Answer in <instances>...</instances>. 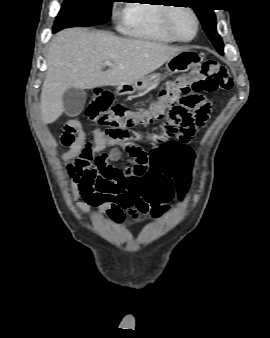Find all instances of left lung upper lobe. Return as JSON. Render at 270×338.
Here are the masks:
<instances>
[{
	"mask_svg": "<svg viewBox=\"0 0 270 338\" xmlns=\"http://www.w3.org/2000/svg\"><path fill=\"white\" fill-rule=\"evenodd\" d=\"M197 4L193 8L196 12L202 27L208 38L211 40L216 50L223 54V41L216 30V17L213 12V9L208 7L212 1L210 0H197Z\"/></svg>",
	"mask_w": 270,
	"mask_h": 338,
	"instance_id": "5c2ea615",
	"label": "left lung upper lobe"
}]
</instances>
